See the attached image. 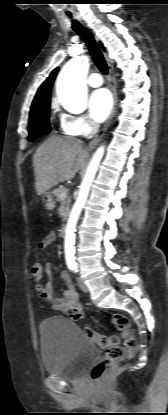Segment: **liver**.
Returning a JSON list of instances; mask_svg holds the SVG:
<instances>
[{"instance_id":"liver-1","label":"liver","mask_w":168,"mask_h":415,"mask_svg":"<svg viewBox=\"0 0 168 415\" xmlns=\"http://www.w3.org/2000/svg\"><path fill=\"white\" fill-rule=\"evenodd\" d=\"M82 141L74 137L52 136L33 155L35 189L44 194L60 182L71 180L89 156Z\"/></svg>"}]
</instances>
